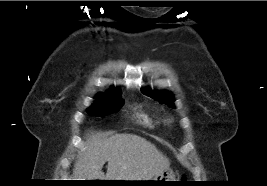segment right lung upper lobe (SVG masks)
I'll list each match as a JSON object with an SVG mask.
<instances>
[{"mask_svg":"<svg viewBox=\"0 0 267 186\" xmlns=\"http://www.w3.org/2000/svg\"><path fill=\"white\" fill-rule=\"evenodd\" d=\"M115 94H120V90L119 89H114V91L111 92V95H115ZM100 95H107V94L102 93Z\"/></svg>","mask_w":267,"mask_h":186,"instance_id":"cb5924a9","label":"right lung upper lobe"}]
</instances>
